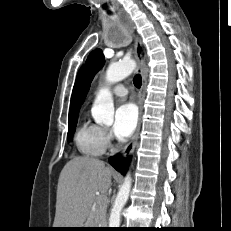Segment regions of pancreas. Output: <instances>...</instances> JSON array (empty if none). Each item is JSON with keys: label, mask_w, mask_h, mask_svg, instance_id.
<instances>
[{"label": "pancreas", "mask_w": 231, "mask_h": 231, "mask_svg": "<svg viewBox=\"0 0 231 231\" xmlns=\"http://www.w3.org/2000/svg\"><path fill=\"white\" fill-rule=\"evenodd\" d=\"M106 203L103 202L102 204H97L96 206V212L93 214L90 224H94L99 227L106 226Z\"/></svg>", "instance_id": "cf45deb5"}]
</instances>
